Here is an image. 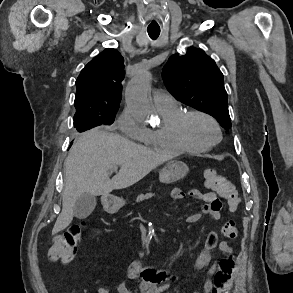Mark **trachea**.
Returning a JSON list of instances; mask_svg holds the SVG:
<instances>
[{"instance_id":"3493384b","label":"trachea","mask_w":293,"mask_h":293,"mask_svg":"<svg viewBox=\"0 0 293 293\" xmlns=\"http://www.w3.org/2000/svg\"><path fill=\"white\" fill-rule=\"evenodd\" d=\"M147 32L151 39L155 40L160 35V29H147Z\"/></svg>"}]
</instances>
